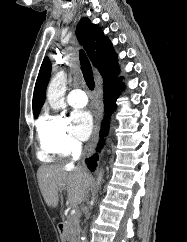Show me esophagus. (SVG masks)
<instances>
[{
    "label": "esophagus",
    "mask_w": 187,
    "mask_h": 242,
    "mask_svg": "<svg viewBox=\"0 0 187 242\" xmlns=\"http://www.w3.org/2000/svg\"><path fill=\"white\" fill-rule=\"evenodd\" d=\"M97 93L100 97V105H99L98 115L96 117L94 131H93L91 140L89 141V143L87 144V146L85 148V153L88 156H90L94 152V148L97 145L98 138H99L101 120H102V117H103L102 89L99 85H97Z\"/></svg>",
    "instance_id": "34e87169"
}]
</instances>
